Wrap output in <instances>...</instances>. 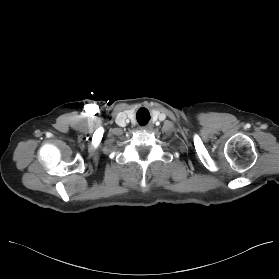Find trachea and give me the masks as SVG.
Segmentation results:
<instances>
[{"instance_id":"obj_1","label":"trachea","mask_w":279,"mask_h":279,"mask_svg":"<svg viewBox=\"0 0 279 279\" xmlns=\"http://www.w3.org/2000/svg\"><path fill=\"white\" fill-rule=\"evenodd\" d=\"M145 109H140L137 112V120L140 123V125H145L149 119H150V115L148 112H144Z\"/></svg>"}]
</instances>
